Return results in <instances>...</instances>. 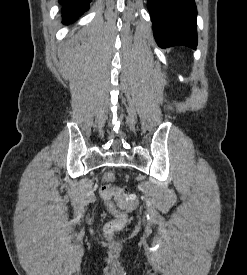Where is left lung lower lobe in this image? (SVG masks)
Here are the masks:
<instances>
[{"label":"left lung lower lobe","instance_id":"obj_1","mask_svg":"<svg viewBox=\"0 0 247 275\" xmlns=\"http://www.w3.org/2000/svg\"><path fill=\"white\" fill-rule=\"evenodd\" d=\"M153 33L159 47L197 45L194 0H148Z\"/></svg>","mask_w":247,"mask_h":275}]
</instances>
